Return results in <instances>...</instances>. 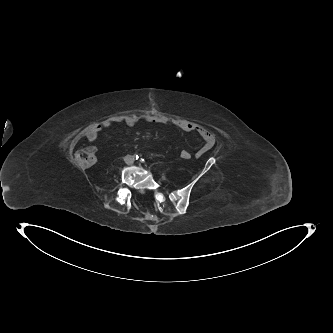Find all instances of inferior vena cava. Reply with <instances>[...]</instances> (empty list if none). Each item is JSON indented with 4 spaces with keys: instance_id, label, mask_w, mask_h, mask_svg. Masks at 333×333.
I'll list each match as a JSON object with an SVG mask.
<instances>
[{
    "instance_id": "602c4592",
    "label": "inferior vena cava",
    "mask_w": 333,
    "mask_h": 333,
    "mask_svg": "<svg viewBox=\"0 0 333 333\" xmlns=\"http://www.w3.org/2000/svg\"><path fill=\"white\" fill-rule=\"evenodd\" d=\"M124 162L127 164V165H132L134 163V157L132 155H126L124 156Z\"/></svg>"
}]
</instances>
